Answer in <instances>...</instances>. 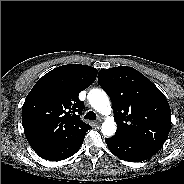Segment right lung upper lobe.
Returning a JSON list of instances; mask_svg holds the SVG:
<instances>
[{
    "instance_id": "1",
    "label": "right lung upper lobe",
    "mask_w": 184,
    "mask_h": 184,
    "mask_svg": "<svg viewBox=\"0 0 184 184\" xmlns=\"http://www.w3.org/2000/svg\"><path fill=\"white\" fill-rule=\"evenodd\" d=\"M97 77V69L81 64L54 68L41 77L22 107L25 136L35 152L70 144L85 137L91 126L81 121V91Z\"/></svg>"
}]
</instances>
